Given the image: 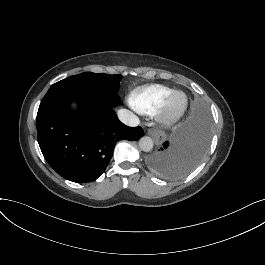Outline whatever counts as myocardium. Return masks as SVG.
Returning a JSON list of instances; mask_svg holds the SVG:
<instances>
[{
  "label": "myocardium",
  "instance_id": "obj_1",
  "mask_svg": "<svg viewBox=\"0 0 265 265\" xmlns=\"http://www.w3.org/2000/svg\"><path fill=\"white\" fill-rule=\"evenodd\" d=\"M179 95H181V93H173L164 105L160 114V120L163 124L172 125L177 122L185 113L187 108L186 98H184L179 106H175V101Z\"/></svg>",
  "mask_w": 265,
  "mask_h": 265
}]
</instances>
